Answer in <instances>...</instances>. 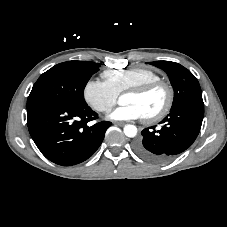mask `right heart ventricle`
<instances>
[{"instance_id": "right-heart-ventricle-1", "label": "right heart ventricle", "mask_w": 227, "mask_h": 227, "mask_svg": "<svg viewBox=\"0 0 227 227\" xmlns=\"http://www.w3.org/2000/svg\"><path fill=\"white\" fill-rule=\"evenodd\" d=\"M103 77L118 95L130 88L161 79L157 72L144 67L106 70Z\"/></svg>"}]
</instances>
